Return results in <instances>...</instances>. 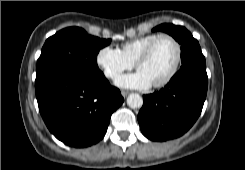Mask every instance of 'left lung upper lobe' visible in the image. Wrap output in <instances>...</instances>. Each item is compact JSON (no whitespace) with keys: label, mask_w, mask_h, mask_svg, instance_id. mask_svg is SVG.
I'll list each match as a JSON object with an SVG mask.
<instances>
[{"label":"left lung upper lobe","mask_w":245,"mask_h":170,"mask_svg":"<svg viewBox=\"0 0 245 170\" xmlns=\"http://www.w3.org/2000/svg\"><path fill=\"white\" fill-rule=\"evenodd\" d=\"M152 31H163L171 35L181 44V61L183 66H195L206 68L205 57L202 54L198 41L183 26L173 24H161Z\"/></svg>","instance_id":"left-lung-upper-lobe-1"}]
</instances>
